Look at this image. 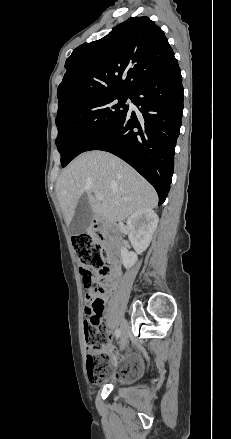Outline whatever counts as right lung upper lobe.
I'll return each instance as SVG.
<instances>
[{
  "mask_svg": "<svg viewBox=\"0 0 231 439\" xmlns=\"http://www.w3.org/2000/svg\"><path fill=\"white\" fill-rule=\"evenodd\" d=\"M164 32L148 17H131L67 58L58 87V112L96 97L131 94L174 59Z\"/></svg>",
  "mask_w": 231,
  "mask_h": 439,
  "instance_id": "right-lung-upper-lobe-1",
  "label": "right lung upper lobe"
}]
</instances>
